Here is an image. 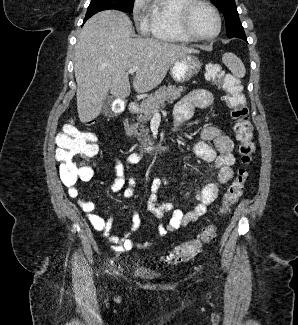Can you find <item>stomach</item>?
I'll list each match as a JSON object with an SVG mask.
<instances>
[{"mask_svg": "<svg viewBox=\"0 0 298 325\" xmlns=\"http://www.w3.org/2000/svg\"><path fill=\"white\" fill-rule=\"evenodd\" d=\"M201 66L202 62L198 56L194 52H189V54H182L181 58H177L171 64L169 74L175 82H187L200 72Z\"/></svg>", "mask_w": 298, "mask_h": 325, "instance_id": "1", "label": "stomach"}]
</instances>
